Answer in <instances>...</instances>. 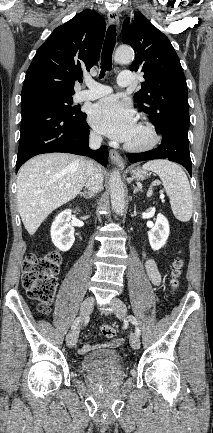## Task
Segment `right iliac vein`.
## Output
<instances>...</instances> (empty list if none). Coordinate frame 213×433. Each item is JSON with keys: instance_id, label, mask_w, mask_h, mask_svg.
Returning a JSON list of instances; mask_svg holds the SVG:
<instances>
[{"instance_id": "obj_1", "label": "right iliac vein", "mask_w": 213, "mask_h": 433, "mask_svg": "<svg viewBox=\"0 0 213 433\" xmlns=\"http://www.w3.org/2000/svg\"><path fill=\"white\" fill-rule=\"evenodd\" d=\"M94 302L95 300L93 297H88L83 301L80 308L81 317H85L88 314H90V312L93 310ZM77 339H78V330L76 328L67 334L66 336L67 346L70 348L74 347L76 345Z\"/></svg>"}]
</instances>
